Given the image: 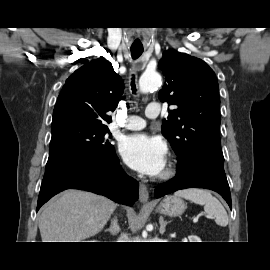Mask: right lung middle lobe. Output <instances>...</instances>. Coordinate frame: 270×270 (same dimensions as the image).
<instances>
[{
	"mask_svg": "<svg viewBox=\"0 0 270 270\" xmlns=\"http://www.w3.org/2000/svg\"><path fill=\"white\" fill-rule=\"evenodd\" d=\"M51 133L50 154L74 149L94 150L105 156L115 153L107 126L69 122L52 127Z\"/></svg>",
	"mask_w": 270,
	"mask_h": 270,
	"instance_id": "1",
	"label": "right lung middle lobe"
}]
</instances>
